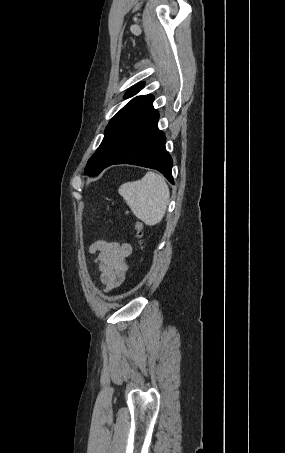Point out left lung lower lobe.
<instances>
[{
  "instance_id": "1",
  "label": "left lung lower lobe",
  "mask_w": 285,
  "mask_h": 453,
  "mask_svg": "<svg viewBox=\"0 0 285 453\" xmlns=\"http://www.w3.org/2000/svg\"><path fill=\"white\" fill-rule=\"evenodd\" d=\"M158 119L159 113L151 104L121 135L100 172L114 164H133L156 169L173 184V162L165 148L166 137L158 129Z\"/></svg>"
}]
</instances>
